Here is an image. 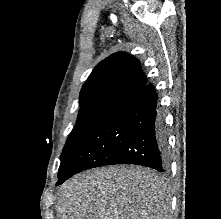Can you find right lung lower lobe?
Returning <instances> with one entry per match:
<instances>
[{"instance_id": "obj_1", "label": "right lung lower lobe", "mask_w": 221, "mask_h": 219, "mask_svg": "<svg viewBox=\"0 0 221 219\" xmlns=\"http://www.w3.org/2000/svg\"><path fill=\"white\" fill-rule=\"evenodd\" d=\"M168 162L164 119L148 84L125 97L61 162L56 185L89 168L136 164L165 172Z\"/></svg>"}]
</instances>
